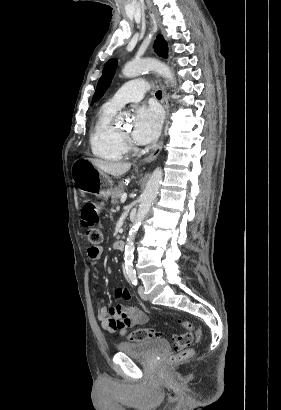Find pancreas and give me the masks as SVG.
<instances>
[{"instance_id": "cf45deb5", "label": "pancreas", "mask_w": 281, "mask_h": 410, "mask_svg": "<svg viewBox=\"0 0 281 410\" xmlns=\"http://www.w3.org/2000/svg\"><path fill=\"white\" fill-rule=\"evenodd\" d=\"M124 191H125V183L119 182L118 185L115 186L110 192V195L112 198V204H116L118 202V199L121 198Z\"/></svg>"}]
</instances>
